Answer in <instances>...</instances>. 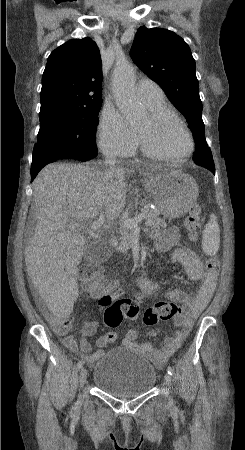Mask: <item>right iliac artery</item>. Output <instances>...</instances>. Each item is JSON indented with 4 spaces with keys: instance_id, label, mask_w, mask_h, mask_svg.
I'll return each mask as SVG.
<instances>
[{
    "instance_id": "1",
    "label": "right iliac artery",
    "mask_w": 245,
    "mask_h": 450,
    "mask_svg": "<svg viewBox=\"0 0 245 450\" xmlns=\"http://www.w3.org/2000/svg\"><path fill=\"white\" fill-rule=\"evenodd\" d=\"M83 364H84V362L82 360L79 361L78 364H77V368L81 369L83 367Z\"/></svg>"
}]
</instances>
